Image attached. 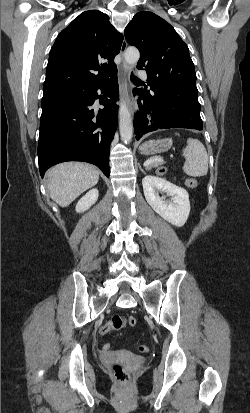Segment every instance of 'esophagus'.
Returning a JSON list of instances; mask_svg holds the SVG:
<instances>
[{"instance_id": "esophagus-1", "label": "esophagus", "mask_w": 250, "mask_h": 413, "mask_svg": "<svg viewBox=\"0 0 250 413\" xmlns=\"http://www.w3.org/2000/svg\"><path fill=\"white\" fill-rule=\"evenodd\" d=\"M126 47H127V42L124 39L121 45V49H120L121 61L118 64V82H119L120 87L124 91L129 109L132 115H134V113L137 111V104L133 102L130 97V88L128 84L130 69L124 60V52H125Z\"/></svg>"}]
</instances>
